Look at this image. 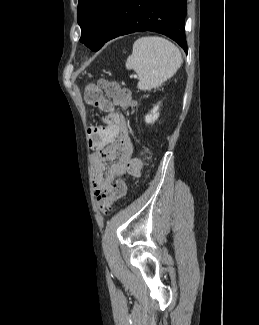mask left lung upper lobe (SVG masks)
Returning a JSON list of instances; mask_svg holds the SVG:
<instances>
[{
  "label": "left lung upper lobe",
  "mask_w": 259,
  "mask_h": 325,
  "mask_svg": "<svg viewBox=\"0 0 259 325\" xmlns=\"http://www.w3.org/2000/svg\"><path fill=\"white\" fill-rule=\"evenodd\" d=\"M122 0H79L78 24L80 42L93 51L102 46L111 22Z\"/></svg>",
  "instance_id": "obj_1"
}]
</instances>
